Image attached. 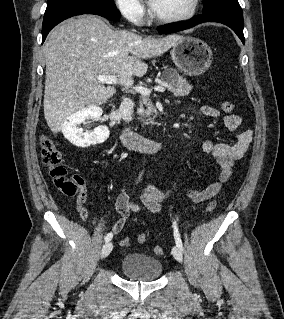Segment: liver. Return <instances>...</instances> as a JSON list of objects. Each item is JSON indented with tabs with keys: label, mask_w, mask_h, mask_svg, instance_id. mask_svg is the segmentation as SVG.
<instances>
[{
	"label": "liver",
	"mask_w": 284,
	"mask_h": 319,
	"mask_svg": "<svg viewBox=\"0 0 284 319\" xmlns=\"http://www.w3.org/2000/svg\"><path fill=\"white\" fill-rule=\"evenodd\" d=\"M181 38L176 34L152 38L114 31L101 18L91 15L61 23L43 48L44 116L51 131L60 132L72 114L102 105L116 93L115 87H105L97 76L116 75L118 83L129 88L133 76L146 74L144 59L162 55Z\"/></svg>",
	"instance_id": "1"
}]
</instances>
